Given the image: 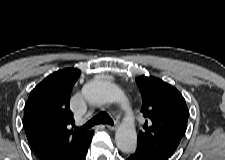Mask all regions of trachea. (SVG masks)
<instances>
[{"mask_svg":"<svg viewBox=\"0 0 225 160\" xmlns=\"http://www.w3.org/2000/svg\"><path fill=\"white\" fill-rule=\"evenodd\" d=\"M99 123L113 125V120L110 118V116L106 112H101L98 115H96L95 117H93L90 121H88L81 128H77V130L78 131H86Z\"/></svg>","mask_w":225,"mask_h":160,"instance_id":"3493384b","label":"trachea"}]
</instances>
